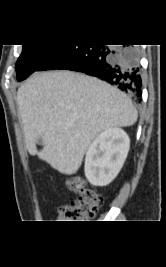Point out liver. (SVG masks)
Here are the masks:
<instances>
[{
    "mask_svg": "<svg viewBox=\"0 0 166 267\" xmlns=\"http://www.w3.org/2000/svg\"><path fill=\"white\" fill-rule=\"evenodd\" d=\"M17 103L29 154L66 175L78 171L100 132L132 126L138 118L125 93L71 71L35 73L19 87Z\"/></svg>",
    "mask_w": 166,
    "mask_h": 267,
    "instance_id": "6515ba94",
    "label": "liver"
}]
</instances>
